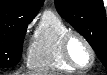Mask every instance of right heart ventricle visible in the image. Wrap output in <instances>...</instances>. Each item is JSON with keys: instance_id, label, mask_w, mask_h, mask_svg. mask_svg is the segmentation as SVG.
<instances>
[{"instance_id": "obj_1", "label": "right heart ventricle", "mask_w": 107, "mask_h": 75, "mask_svg": "<svg viewBox=\"0 0 107 75\" xmlns=\"http://www.w3.org/2000/svg\"><path fill=\"white\" fill-rule=\"evenodd\" d=\"M68 31L70 29L58 15L45 12L28 48L27 67L35 71H74L65 62L61 52V41Z\"/></svg>"}]
</instances>
